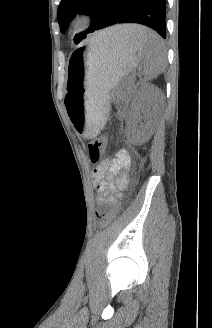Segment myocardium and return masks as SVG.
<instances>
[{"mask_svg":"<svg viewBox=\"0 0 212 328\" xmlns=\"http://www.w3.org/2000/svg\"><path fill=\"white\" fill-rule=\"evenodd\" d=\"M94 18V14L92 11L88 9L78 10L71 21V27L74 32H78L81 29L88 26Z\"/></svg>","mask_w":212,"mask_h":328,"instance_id":"1","label":"myocardium"}]
</instances>
